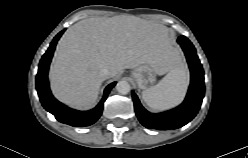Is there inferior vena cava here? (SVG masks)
<instances>
[{"mask_svg": "<svg viewBox=\"0 0 248 158\" xmlns=\"http://www.w3.org/2000/svg\"><path fill=\"white\" fill-rule=\"evenodd\" d=\"M99 75L102 80H106L110 77V70L107 67H104L100 70Z\"/></svg>", "mask_w": 248, "mask_h": 158, "instance_id": "obj_1", "label": "inferior vena cava"}]
</instances>
